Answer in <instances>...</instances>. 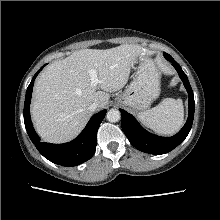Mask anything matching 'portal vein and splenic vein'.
Segmentation results:
<instances>
[{
  "label": "portal vein and splenic vein",
  "mask_w": 220,
  "mask_h": 220,
  "mask_svg": "<svg viewBox=\"0 0 220 220\" xmlns=\"http://www.w3.org/2000/svg\"><path fill=\"white\" fill-rule=\"evenodd\" d=\"M89 75L91 78V84L93 86H96L99 83L98 77H97V70L96 69H91L89 71Z\"/></svg>",
  "instance_id": "obj_1"
}]
</instances>
